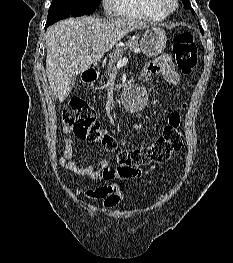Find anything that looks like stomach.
Wrapping results in <instances>:
<instances>
[{
	"label": "stomach",
	"instance_id": "obj_1",
	"mask_svg": "<svg viewBox=\"0 0 233 263\" xmlns=\"http://www.w3.org/2000/svg\"><path fill=\"white\" fill-rule=\"evenodd\" d=\"M167 36L164 30L157 27L147 28L140 41L142 52L148 57H154L163 52Z\"/></svg>",
	"mask_w": 233,
	"mask_h": 263
}]
</instances>
